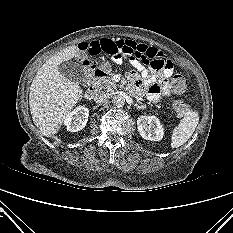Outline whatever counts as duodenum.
Masks as SVG:
<instances>
[{
	"label": "duodenum",
	"instance_id": "obj_1",
	"mask_svg": "<svg viewBox=\"0 0 233 233\" xmlns=\"http://www.w3.org/2000/svg\"><path fill=\"white\" fill-rule=\"evenodd\" d=\"M102 76L103 73L100 70L94 69L92 71V84L88 87V89L85 92L86 98L92 99L96 96L98 92V82Z\"/></svg>",
	"mask_w": 233,
	"mask_h": 233
}]
</instances>
